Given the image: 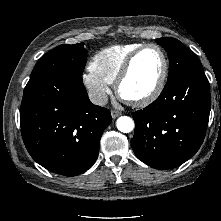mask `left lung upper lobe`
Listing matches in <instances>:
<instances>
[{
  "label": "left lung upper lobe",
  "mask_w": 221,
  "mask_h": 221,
  "mask_svg": "<svg viewBox=\"0 0 221 221\" xmlns=\"http://www.w3.org/2000/svg\"><path fill=\"white\" fill-rule=\"evenodd\" d=\"M156 42L167 51L169 57V74L166 85L173 83L186 73L203 70L200 61L179 40L159 38Z\"/></svg>",
  "instance_id": "obj_1"
}]
</instances>
